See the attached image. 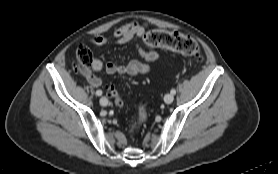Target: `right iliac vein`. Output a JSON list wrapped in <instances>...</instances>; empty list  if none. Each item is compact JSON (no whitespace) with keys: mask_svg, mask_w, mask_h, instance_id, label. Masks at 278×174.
I'll list each match as a JSON object with an SVG mask.
<instances>
[{"mask_svg":"<svg viewBox=\"0 0 278 174\" xmlns=\"http://www.w3.org/2000/svg\"><path fill=\"white\" fill-rule=\"evenodd\" d=\"M99 102L102 106H107L108 105V99L106 97L100 98Z\"/></svg>","mask_w":278,"mask_h":174,"instance_id":"63e3f726","label":"right iliac vein"}]
</instances>
